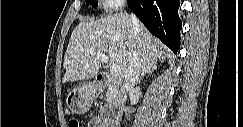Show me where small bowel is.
<instances>
[{"label":"small bowel","mask_w":243,"mask_h":127,"mask_svg":"<svg viewBox=\"0 0 243 127\" xmlns=\"http://www.w3.org/2000/svg\"><path fill=\"white\" fill-rule=\"evenodd\" d=\"M89 126H90V127H102V126L100 125V119H98V118H94V119H92V120L90 121V123H89Z\"/></svg>","instance_id":"obj_1"}]
</instances>
